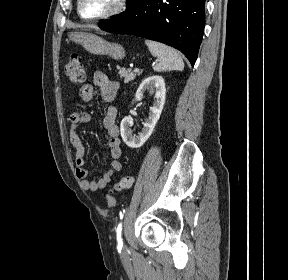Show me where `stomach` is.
Here are the masks:
<instances>
[{"mask_svg":"<svg viewBox=\"0 0 288 280\" xmlns=\"http://www.w3.org/2000/svg\"><path fill=\"white\" fill-rule=\"evenodd\" d=\"M69 38L81 44L91 54L108 55L115 60L122 59L126 55L122 45L108 42L93 33L71 32Z\"/></svg>","mask_w":288,"mask_h":280,"instance_id":"obj_1","label":"stomach"}]
</instances>
